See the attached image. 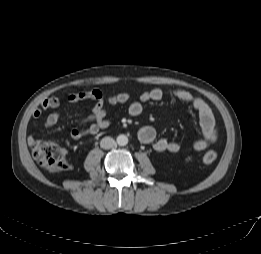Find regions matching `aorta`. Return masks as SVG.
<instances>
[{
  "mask_svg": "<svg viewBox=\"0 0 261 254\" xmlns=\"http://www.w3.org/2000/svg\"><path fill=\"white\" fill-rule=\"evenodd\" d=\"M116 141L119 146H125L128 144V137L124 134H121L117 137Z\"/></svg>",
  "mask_w": 261,
  "mask_h": 254,
  "instance_id": "1",
  "label": "aorta"
}]
</instances>
